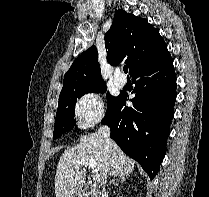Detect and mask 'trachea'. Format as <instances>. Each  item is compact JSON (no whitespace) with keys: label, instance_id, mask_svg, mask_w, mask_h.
Here are the masks:
<instances>
[{"label":"trachea","instance_id":"obj_1","mask_svg":"<svg viewBox=\"0 0 209 197\" xmlns=\"http://www.w3.org/2000/svg\"><path fill=\"white\" fill-rule=\"evenodd\" d=\"M123 71H124L125 73H127V72H128V67H127V66H124V67H123Z\"/></svg>","mask_w":209,"mask_h":197}]
</instances>
